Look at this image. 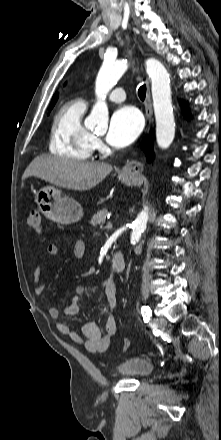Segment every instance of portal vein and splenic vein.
<instances>
[{"label": "portal vein and splenic vein", "mask_w": 221, "mask_h": 440, "mask_svg": "<svg viewBox=\"0 0 221 440\" xmlns=\"http://www.w3.org/2000/svg\"><path fill=\"white\" fill-rule=\"evenodd\" d=\"M106 227H107V228H111V227H112V223H111V222H108L107 225H106Z\"/></svg>", "instance_id": "1"}]
</instances>
